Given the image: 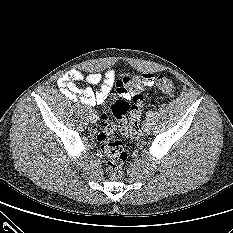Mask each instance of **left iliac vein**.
Listing matches in <instances>:
<instances>
[{"mask_svg":"<svg viewBox=\"0 0 233 233\" xmlns=\"http://www.w3.org/2000/svg\"><path fill=\"white\" fill-rule=\"evenodd\" d=\"M151 120L149 119V118H147L146 120H145V122L143 123V130L145 131V132H148V131H150V129H151Z\"/></svg>","mask_w":233,"mask_h":233,"instance_id":"left-iliac-vein-1","label":"left iliac vein"}]
</instances>
